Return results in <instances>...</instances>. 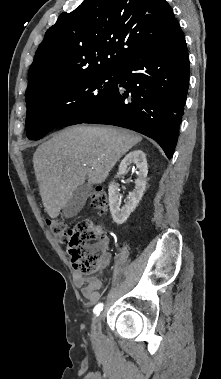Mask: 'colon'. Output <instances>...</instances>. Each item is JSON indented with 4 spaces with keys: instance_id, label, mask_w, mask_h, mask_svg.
Here are the masks:
<instances>
[{
    "instance_id": "1",
    "label": "colon",
    "mask_w": 221,
    "mask_h": 379,
    "mask_svg": "<svg viewBox=\"0 0 221 379\" xmlns=\"http://www.w3.org/2000/svg\"><path fill=\"white\" fill-rule=\"evenodd\" d=\"M91 206L100 213L107 210V195L101 188H96L91 196ZM51 234L69 249L74 269L82 274L94 273L105 254V232L89 219L79 221L68 228L58 220H48Z\"/></svg>"
}]
</instances>
